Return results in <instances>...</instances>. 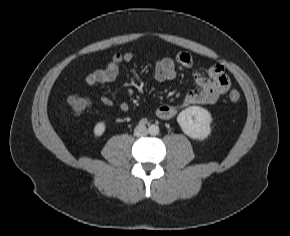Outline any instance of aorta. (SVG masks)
Wrapping results in <instances>:
<instances>
[{"instance_id": "obj_1", "label": "aorta", "mask_w": 290, "mask_h": 236, "mask_svg": "<svg viewBox=\"0 0 290 236\" xmlns=\"http://www.w3.org/2000/svg\"><path fill=\"white\" fill-rule=\"evenodd\" d=\"M148 131L151 135H157L159 133V127L157 125H151Z\"/></svg>"}]
</instances>
